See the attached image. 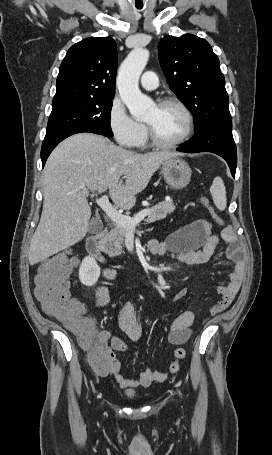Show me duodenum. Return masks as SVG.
Returning a JSON list of instances; mask_svg holds the SVG:
<instances>
[{
    "label": "duodenum",
    "mask_w": 272,
    "mask_h": 455,
    "mask_svg": "<svg viewBox=\"0 0 272 455\" xmlns=\"http://www.w3.org/2000/svg\"><path fill=\"white\" fill-rule=\"evenodd\" d=\"M108 234L107 228H102L92 234L86 241L87 251L102 263H107V257L104 251V242Z\"/></svg>",
    "instance_id": "obj_1"
}]
</instances>
